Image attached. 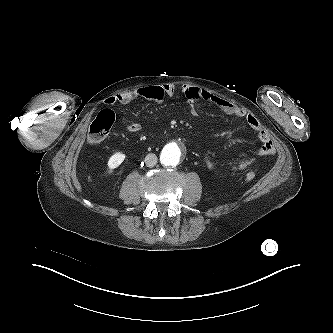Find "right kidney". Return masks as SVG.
Wrapping results in <instances>:
<instances>
[{"instance_id": "1", "label": "right kidney", "mask_w": 333, "mask_h": 333, "mask_svg": "<svg viewBox=\"0 0 333 333\" xmlns=\"http://www.w3.org/2000/svg\"><path fill=\"white\" fill-rule=\"evenodd\" d=\"M125 154L117 152L113 154L108 160V173H112L113 170L121 165V163L125 160Z\"/></svg>"}]
</instances>
